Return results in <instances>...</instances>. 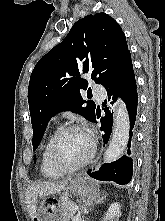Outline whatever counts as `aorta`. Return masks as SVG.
Listing matches in <instances>:
<instances>
[{
    "label": "aorta",
    "mask_w": 165,
    "mask_h": 221,
    "mask_svg": "<svg viewBox=\"0 0 165 221\" xmlns=\"http://www.w3.org/2000/svg\"><path fill=\"white\" fill-rule=\"evenodd\" d=\"M129 129L130 121L126 105L119 100L115 107L113 135L104 154V162H113L123 154L129 140Z\"/></svg>",
    "instance_id": "1"
}]
</instances>
